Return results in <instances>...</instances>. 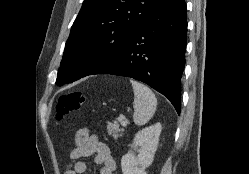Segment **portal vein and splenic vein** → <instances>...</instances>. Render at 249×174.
<instances>
[{"mask_svg":"<svg viewBox=\"0 0 249 174\" xmlns=\"http://www.w3.org/2000/svg\"><path fill=\"white\" fill-rule=\"evenodd\" d=\"M118 121L121 123L123 126H127V120L124 117H119Z\"/></svg>","mask_w":249,"mask_h":174,"instance_id":"obj_1","label":"portal vein and splenic vein"}]
</instances>
